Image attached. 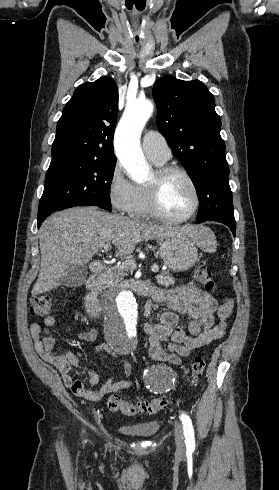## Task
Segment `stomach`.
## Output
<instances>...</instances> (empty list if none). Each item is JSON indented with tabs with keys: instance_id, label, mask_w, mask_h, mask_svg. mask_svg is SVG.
<instances>
[{
	"instance_id": "stomach-1",
	"label": "stomach",
	"mask_w": 279,
	"mask_h": 490,
	"mask_svg": "<svg viewBox=\"0 0 279 490\" xmlns=\"http://www.w3.org/2000/svg\"><path fill=\"white\" fill-rule=\"evenodd\" d=\"M159 256L171 272H187L199 262L196 242L181 234H168L159 248Z\"/></svg>"
}]
</instances>
